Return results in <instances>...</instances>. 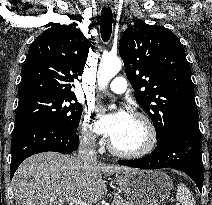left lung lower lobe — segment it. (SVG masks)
Returning a JSON list of instances; mask_svg holds the SVG:
<instances>
[{
	"instance_id": "obj_1",
	"label": "left lung lower lobe",
	"mask_w": 212,
	"mask_h": 205,
	"mask_svg": "<svg viewBox=\"0 0 212 205\" xmlns=\"http://www.w3.org/2000/svg\"><path fill=\"white\" fill-rule=\"evenodd\" d=\"M201 148L198 115H193L176 123L167 139L162 143L157 142V147L151 154L135 160H119L118 163L143 169L171 167L182 170L192 178L202 192Z\"/></svg>"
}]
</instances>
